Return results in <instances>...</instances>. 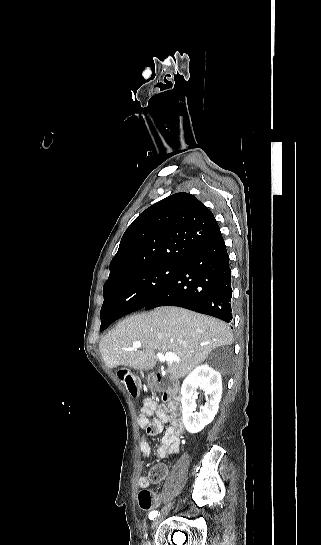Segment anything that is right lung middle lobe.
<instances>
[{
	"label": "right lung middle lobe",
	"instance_id": "1",
	"mask_svg": "<svg viewBox=\"0 0 321 545\" xmlns=\"http://www.w3.org/2000/svg\"><path fill=\"white\" fill-rule=\"evenodd\" d=\"M180 268L181 265L163 264L127 274L116 284L103 288V305L114 299L142 308L175 277ZM105 324L106 321L101 317L100 331Z\"/></svg>",
	"mask_w": 321,
	"mask_h": 545
}]
</instances>
